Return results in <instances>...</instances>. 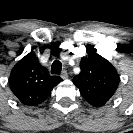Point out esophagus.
Instances as JSON below:
<instances>
[{"mask_svg": "<svg viewBox=\"0 0 133 133\" xmlns=\"http://www.w3.org/2000/svg\"><path fill=\"white\" fill-rule=\"evenodd\" d=\"M61 78H62V79H67V78H68V73H67L66 70L62 71V73H61Z\"/></svg>", "mask_w": 133, "mask_h": 133, "instance_id": "esophagus-1", "label": "esophagus"}]
</instances>
